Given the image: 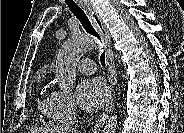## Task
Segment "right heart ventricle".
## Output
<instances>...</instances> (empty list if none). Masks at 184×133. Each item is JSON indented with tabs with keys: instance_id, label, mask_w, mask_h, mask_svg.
Returning <instances> with one entry per match:
<instances>
[{
	"instance_id": "1",
	"label": "right heart ventricle",
	"mask_w": 184,
	"mask_h": 133,
	"mask_svg": "<svg viewBox=\"0 0 184 133\" xmlns=\"http://www.w3.org/2000/svg\"><path fill=\"white\" fill-rule=\"evenodd\" d=\"M55 92L56 91H49L48 88L45 86L39 99L40 110L52 122L61 121L55 107Z\"/></svg>"
}]
</instances>
